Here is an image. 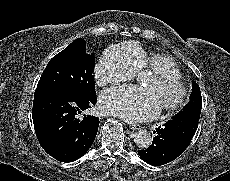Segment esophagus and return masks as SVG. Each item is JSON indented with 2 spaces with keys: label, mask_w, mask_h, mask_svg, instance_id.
I'll return each mask as SVG.
<instances>
[{
  "label": "esophagus",
  "mask_w": 230,
  "mask_h": 181,
  "mask_svg": "<svg viewBox=\"0 0 230 181\" xmlns=\"http://www.w3.org/2000/svg\"><path fill=\"white\" fill-rule=\"evenodd\" d=\"M129 127H130L132 130H139V129H141V125H140V124H133V123H130V124H129Z\"/></svg>",
  "instance_id": "obj_1"
}]
</instances>
